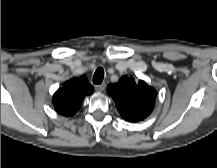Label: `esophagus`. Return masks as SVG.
I'll list each match as a JSON object with an SVG mask.
<instances>
[{
    "label": "esophagus",
    "instance_id": "34e87169",
    "mask_svg": "<svg viewBox=\"0 0 217 168\" xmlns=\"http://www.w3.org/2000/svg\"><path fill=\"white\" fill-rule=\"evenodd\" d=\"M105 87H106L105 83H102V84H99V85H95V90L97 92H102V91H104Z\"/></svg>",
    "mask_w": 217,
    "mask_h": 168
}]
</instances>
